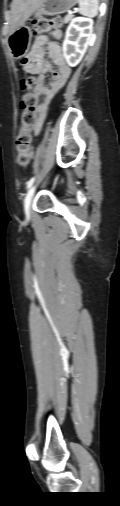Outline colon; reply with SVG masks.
<instances>
[{"label": "colon", "mask_w": 120, "mask_h": 506, "mask_svg": "<svg viewBox=\"0 0 120 506\" xmlns=\"http://www.w3.org/2000/svg\"><path fill=\"white\" fill-rule=\"evenodd\" d=\"M61 25V19L59 17L53 18H38L35 20L33 28L36 33H47L51 30L57 29ZM21 63L26 64V59H23ZM34 79L32 77H23L21 79V87L26 93L22 98V115H21V129L17 135L16 146H17V162L18 164L26 168L29 166L33 159L32 150V133L31 130L34 127L37 117L35 114V107L37 104V98L31 91L34 85Z\"/></svg>", "instance_id": "obj_1"}]
</instances>
